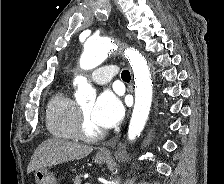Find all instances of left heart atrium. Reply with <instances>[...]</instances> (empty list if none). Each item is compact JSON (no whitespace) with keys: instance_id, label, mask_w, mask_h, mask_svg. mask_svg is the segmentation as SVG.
<instances>
[{"instance_id":"obj_1","label":"left heart atrium","mask_w":224,"mask_h":184,"mask_svg":"<svg viewBox=\"0 0 224 184\" xmlns=\"http://www.w3.org/2000/svg\"><path fill=\"white\" fill-rule=\"evenodd\" d=\"M123 113L119 98L111 92H103L94 103L90 116L98 127L110 129L120 122Z\"/></svg>"}]
</instances>
